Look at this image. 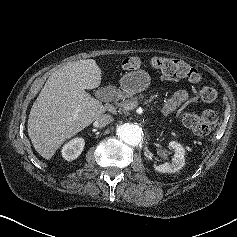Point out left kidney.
Masks as SVG:
<instances>
[{"label":"left kidney","instance_id":"left-kidney-1","mask_svg":"<svg viewBox=\"0 0 237 237\" xmlns=\"http://www.w3.org/2000/svg\"><path fill=\"white\" fill-rule=\"evenodd\" d=\"M169 147L174 151L171 162L162 165H154V169L161 173H172L179 171L185 165V150L181 144L175 141L169 142Z\"/></svg>","mask_w":237,"mask_h":237}]
</instances>
